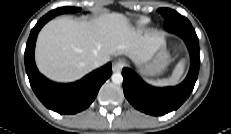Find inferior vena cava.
Wrapping results in <instances>:
<instances>
[{
  "instance_id": "inferior-vena-cava-1",
  "label": "inferior vena cava",
  "mask_w": 231,
  "mask_h": 134,
  "mask_svg": "<svg viewBox=\"0 0 231 134\" xmlns=\"http://www.w3.org/2000/svg\"><path fill=\"white\" fill-rule=\"evenodd\" d=\"M103 64H104L103 61H101V60H95V61L92 63V67H93V68H97V67L102 66Z\"/></svg>"
}]
</instances>
